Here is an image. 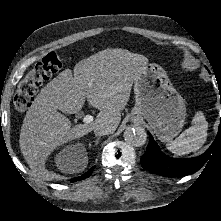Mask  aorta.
Instances as JSON below:
<instances>
[{"label": "aorta", "mask_w": 221, "mask_h": 221, "mask_svg": "<svg viewBox=\"0 0 221 221\" xmlns=\"http://www.w3.org/2000/svg\"><path fill=\"white\" fill-rule=\"evenodd\" d=\"M147 139V133L141 126L128 127L124 131V140L127 144L133 146H142Z\"/></svg>", "instance_id": "obj_1"}]
</instances>
